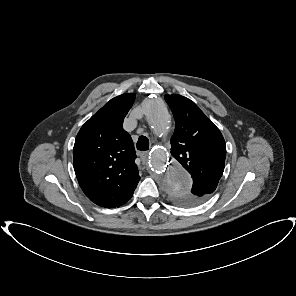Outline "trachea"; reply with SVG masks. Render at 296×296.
Listing matches in <instances>:
<instances>
[{
    "instance_id": "trachea-1",
    "label": "trachea",
    "mask_w": 296,
    "mask_h": 296,
    "mask_svg": "<svg viewBox=\"0 0 296 296\" xmlns=\"http://www.w3.org/2000/svg\"><path fill=\"white\" fill-rule=\"evenodd\" d=\"M137 149L140 151H146L149 149V140L146 136H140L137 141Z\"/></svg>"
}]
</instances>
